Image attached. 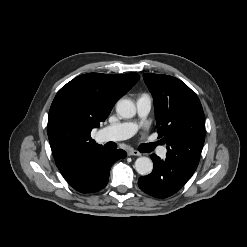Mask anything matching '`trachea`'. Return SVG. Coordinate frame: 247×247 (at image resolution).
Masks as SVG:
<instances>
[{"instance_id": "trachea-1", "label": "trachea", "mask_w": 247, "mask_h": 247, "mask_svg": "<svg viewBox=\"0 0 247 247\" xmlns=\"http://www.w3.org/2000/svg\"><path fill=\"white\" fill-rule=\"evenodd\" d=\"M155 146H156V143L146 144L144 146V152H150L151 150L154 149Z\"/></svg>"}]
</instances>
